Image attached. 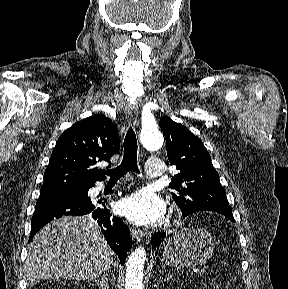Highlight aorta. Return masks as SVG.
<instances>
[{"mask_svg": "<svg viewBox=\"0 0 288 289\" xmlns=\"http://www.w3.org/2000/svg\"><path fill=\"white\" fill-rule=\"evenodd\" d=\"M141 143L151 151L163 146V136L156 126L144 128L141 132ZM146 260L144 248H137L129 256L126 263L125 289H143L142 279Z\"/></svg>", "mask_w": 288, "mask_h": 289, "instance_id": "762f6f07", "label": "aorta"}]
</instances>
